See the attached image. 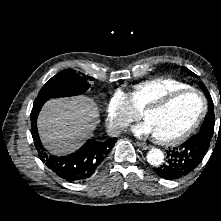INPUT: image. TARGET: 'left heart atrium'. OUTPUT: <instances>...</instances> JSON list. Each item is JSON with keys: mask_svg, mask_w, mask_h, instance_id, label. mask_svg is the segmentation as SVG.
<instances>
[{"mask_svg": "<svg viewBox=\"0 0 221 221\" xmlns=\"http://www.w3.org/2000/svg\"><path fill=\"white\" fill-rule=\"evenodd\" d=\"M131 131L137 137L154 135L150 125L146 121L134 126Z\"/></svg>", "mask_w": 221, "mask_h": 221, "instance_id": "39dd6f15", "label": "left heart atrium"}]
</instances>
